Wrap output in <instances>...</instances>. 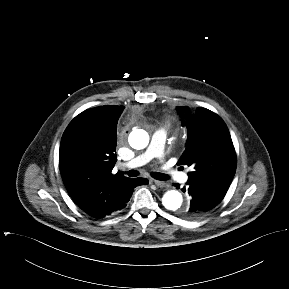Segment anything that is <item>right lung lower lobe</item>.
Segmentation results:
<instances>
[{
	"mask_svg": "<svg viewBox=\"0 0 289 289\" xmlns=\"http://www.w3.org/2000/svg\"><path fill=\"white\" fill-rule=\"evenodd\" d=\"M148 184V180L145 179V178H135L133 179L131 185L129 186L128 188V191L125 195V198L119 208V210L123 209L125 206H126V203L129 201L130 197H131V194L133 192V189L136 187V186H139V185H146Z\"/></svg>",
	"mask_w": 289,
	"mask_h": 289,
	"instance_id": "1",
	"label": "right lung lower lobe"
}]
</instances>
